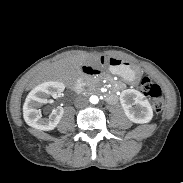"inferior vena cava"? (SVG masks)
I'll list each match as a JSON object with an SVG mask.
<instances>
[{
    "label": "inferior vena cava",
    "instance_id": "602c4592",
    "mask_svg": "<svg viewBox=\"0 0 183 183\" xmlns=\"http://www.w3.org/2000/svg\"><path fill=\"white\" fill-rule=\"evenodd\" d=\"M86 105H88V99L84 96H79L75 101L77 107H85Z\"/></svg>",
    "mask_w": 183,
    "mask_h": 183
}]
</instances>
